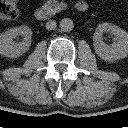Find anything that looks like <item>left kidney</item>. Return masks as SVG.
<instances>
[{
    "label": "left kidney",
    "mask_w": 128,
    "mask_h": 128,
    "mask_svg": "<svg viewBox=\"0 0 128 128\" xmlns=\"http://www.w3.org/2000/svg\"><path fill=\"white\" fill-rule=\"evenodd\" d=\"M109 32L114 36V42L107 45L103 42V33ZM96 54L105 61H115L128 55V33L110 23L99 24L93 36Z\"/></svg>",
    "instance_id": "obj_1"
}]
</instances>
